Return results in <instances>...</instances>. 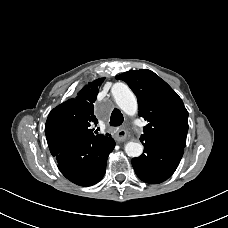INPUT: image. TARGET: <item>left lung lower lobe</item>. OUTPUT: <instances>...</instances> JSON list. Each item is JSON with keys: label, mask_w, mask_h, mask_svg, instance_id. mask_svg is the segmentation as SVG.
<instances>
[{"label": "left lung lower lobe", "mask_w": 228, "mask_h": 228, "mask_svg": "<svg viewBox=\"0 0 228 228\" xmlns=\"http://www.w3.org/2000/svg\"><path fill=\"white\" fill-rule=\"evenodd\" d=\"M142 144L144 153L132 159L137 176L150 184L167 180L178 167L183 148L163 141H145Z\"/></svg>", "instance_id": "1"}]
</instances>
